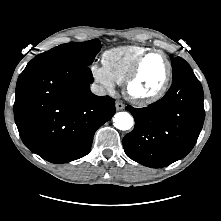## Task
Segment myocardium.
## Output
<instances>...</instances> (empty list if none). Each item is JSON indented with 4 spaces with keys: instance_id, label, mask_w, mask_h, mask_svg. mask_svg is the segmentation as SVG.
Here are the masks:
<instances>
[{
    "instance_id": "obj_1",
    "label": "myocardium",
    "mask_w": 221,
    "mask_h": 221,
    "mask_svg": "<svg viewBox=\"0 0 221 221\" xmlns=\"http://www.w3.org/2000/svg\"><path fill=\"white\" fill-rule=\"evenodd\" d=\"M154 53L161 54L166 60L167 72H166L165 79L162 85L160 86V88L156 92L148 94V95L136 94L135 92H133V89H132L133 84L135 83L140 73L141 66L143 62L145 61V59ZM172 74H173V64L168 54L160 49H149L138 57V59L135 61L134 65L132 66L131 70L129 71L123 83L125 94L130 100H132L133 102L139 105H147V104L154 103L160 100L166 94L169 88L170 82H171Z\"/></svg>"
}]
</instances>
